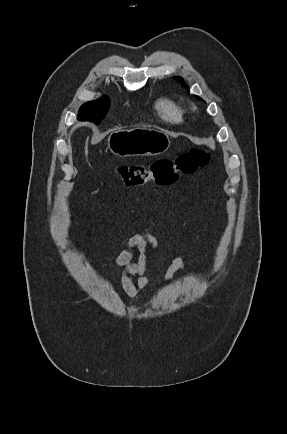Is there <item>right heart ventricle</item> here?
Masks as SVG:
<instances>
[{
  "label": "right heart ventricle",
  "instance_id": "obj_1",
  "mask_svg": "<svg viewBox=\"0 0 287 434\" xmlns=\"http://www.w3.org/2000/svg\"><path fill=\"white\" fill-rule=\"evenodd\" d=\"M159 116L165 121L180 122L183 119L184 111L181 105L172 98H160L155 103Z\"/></svg>",
  "mask_w": 287,
  "mask_h": 434
}]
</instances>
